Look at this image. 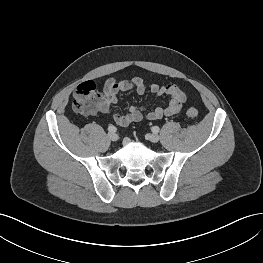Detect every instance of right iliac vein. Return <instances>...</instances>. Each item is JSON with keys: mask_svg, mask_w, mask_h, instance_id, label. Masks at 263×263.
<instances>
[{"mask_svg": "<svg viewBox=\"0 0 263 263\" xmlns=\"http://www.w3.org/2000/svg\"><path fill=\"white\" fill-rule=\"evenodd\" d=\"M108 138L111 141H117L118 140V135L115 132H109L108 133Z\"/></svg>", "mask_w": 263, "mask_h": 263, "instance_id": "obj_1", "label": "right iliac vein"}]
</instances>
